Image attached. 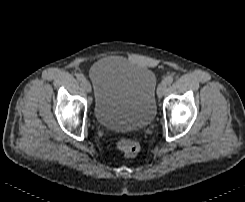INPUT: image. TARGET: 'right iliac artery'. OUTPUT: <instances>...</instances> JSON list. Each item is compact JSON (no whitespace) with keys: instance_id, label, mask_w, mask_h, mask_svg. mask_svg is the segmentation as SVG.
<instances>
[{"instance_id":"right-iliac-artery-1","label":"right iliac artery","mask_w":245,"mask_h":202,"mask_svg":"<svg viewBox=\"0 0 245 202\" xmlns=\"http://www.w3.org/2000/svg\"><path fill=\"white\" fill-rule=\"evenodd\" d=\"M77 80L82 81L83 79H85V77L82 74H78L77 76Z\"/></svg>"}]
</instances>
